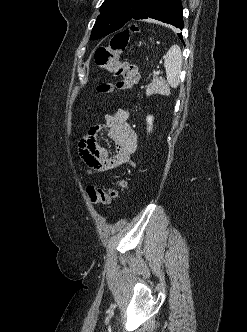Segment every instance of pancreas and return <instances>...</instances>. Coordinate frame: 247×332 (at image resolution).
<instances>
[{
    "mask_svg": "<svg viewBox=\"0 0 247 332\" xmlns=\"http://www.w3.org/2000/svg\"><path fill=\"white\" fill-rule=\"evenodd\" d=\"M162 85V79L156 75L153 76L152 82L148 85L146 90V95L151 96L159 91L160 86Z\"/></svg>",
    "mask_w": 247,
    "mask_h": 332,
    "instance_id": "1",
    "label": "pancreas"
}]
</instances>
